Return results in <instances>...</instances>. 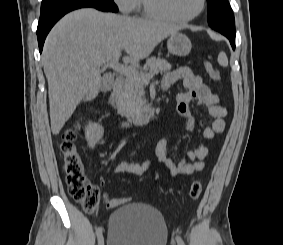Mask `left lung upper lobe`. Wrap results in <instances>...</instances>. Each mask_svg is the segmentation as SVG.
<instances>
[{
    "mask_svg": "<svg viewBox=\"0 0 283 245\" xmlns=\"http://www.w3.org/2000/svg\"><path fill=\"white\" fill-rule=\"evenodd\" d=\"M208 25L216 31L235 35V20L228 0H207Z\"/></svg>",
    "mask_w": 283,
    "mask_h": 245,
    "instance_id": "5c2ea615",
    "label": "left lung upper lobe"
}]
</instances>
